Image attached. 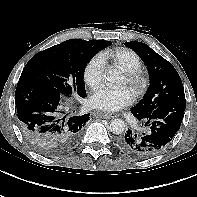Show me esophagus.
Instances as JSON below:
<instances>
[{"label": "esophagus", "instance_id": "1", "mask_svg": "<svg viewBox=\"0 0 197 197\" xmlns=\"http://www.w3.org/2000/svg\"><path fill=\"white\" fill-rule=\"evenodd\" d=\"M98 115L105 119H112L116 117V114H113V113H100Z\"/></svg>", "mask_w": 197, "mask_h": 197}]
</instances>
